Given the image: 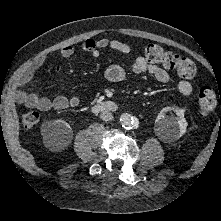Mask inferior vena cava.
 Here are the masks:
<instances>
[{"mask_svg":"<svg viewBox=\"0 0 221 221\" xmlns=\"http://www.w3.org/2000/svg\"><path fill=\"white\" fill-rule=\"evenodd\" d=\"M100 118L103 120V121H110L113 119V115L110 111H103L101 112L100 114Z\"/></svg>","mask_w":221,"mask_h":221,"instance_id":"inferior-vena-cava-1","label":"inferior vena cava"}]
</instances>
